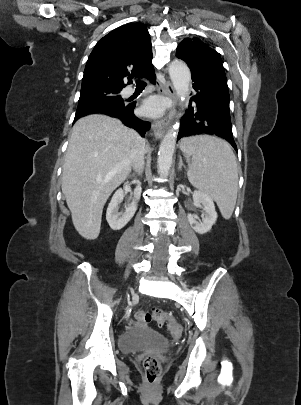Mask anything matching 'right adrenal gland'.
Wrapping results in <instances>:
<instances>
[{
    "instance_id": "obj_1",
    "label": "right adrenal gland",
    "mask_w": 301,
    "mask_h": 405,
    "mask_svg": "<svg viewBox=\"0 0 301 405\" xmlns=\"http://www.w3.org/2000/svg\"><path fill=\"white\" fill-rule=\"evenodd\" d=\"M137 175L141 176V175H142V172H140V173H138V174L133 173L132 175H129V177H136Z\"/></svg>"
}]
</instances>
